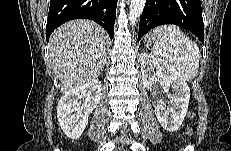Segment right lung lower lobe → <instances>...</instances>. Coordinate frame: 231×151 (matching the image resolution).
<instances>
[{
    "instance_id": "right-lung-lower-lobe-1",
    "label": "right lung lower lobe",
    "mask_w": 231,
    "mask_h": 151,
    "mask_svg": "<svg viewBox=\"0 0 231 151\" xmlns=\"http://www.w3.org/2000/svg\"><path fill=\"white\" fill-rule=\"evenodd\" d=\"M117 0H51L46 39L66 21L90 19L100 24L113 38Z\"/></svg>"
}]
</instances>
